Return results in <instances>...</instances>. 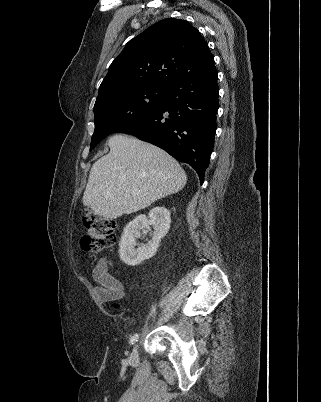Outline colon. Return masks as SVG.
Segmentation results:
<instances>
[{"instance_id": "1", "label": "colon", "mask_w": 321, "mask_h": 402, "mask_svg": "<svg viewBox=\"0 0 321 402\" xmlns=\"http://www.w3.org/2000/svg\"><path fill=\"white\" fill-rule=\"evenodd\" d=\"M87 235L81 239V247L87 253H98L117 240V222L86 212L82 217Z\"/></svg>"}]
</instances>
